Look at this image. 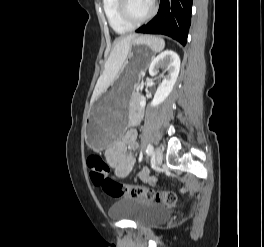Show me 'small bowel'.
Instances as JSON below:
<instances>
[{"mask_svg":"<svg viewBox=\"0 0 264 247\" xmlns=\"http://www.w3.org/2000/svg\"><path fill=\"white\" fill-rule=\"evenodd\" d=\"M140 119L141 113H134L130 118L131 128L126 131L122 139L115 142L106 150V158L116 178H125L134 166V157L128 153V149L137 150L139 147L137 131L134 126L139 123ZM140 178L145 181H153L147 170H143L140 173Z\"/></svg>","mask_w":264,"mask_h":247,"instance_id":"1","label":"small bowel"}]
</instances>
